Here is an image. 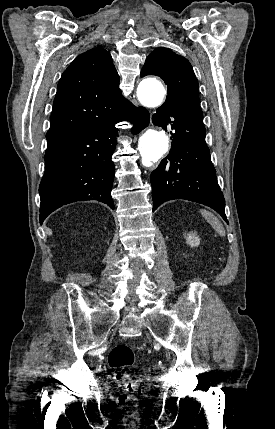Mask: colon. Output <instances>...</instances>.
<instances>
[{"label": "colon", "mask_w": 275, "mask_h": 429, "mask_svg": "<svg viewBox=\"0 0 275 429\" xmlns=\"http://www.w3.org/2000/svg\"><path fill=\"white\" fill-rule=\"evenodd\" d=\"M108 363L113 371V377L123 382L125 389L118 397L119 404H133L136 401L134 393L140 391L142 387L140 380L131 379L127 374V370L135 363L133 350L125 344L113 347L108 355Z\"/></svg>", "instance_id": "colon-1"}]
</instances>
